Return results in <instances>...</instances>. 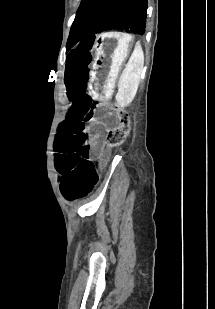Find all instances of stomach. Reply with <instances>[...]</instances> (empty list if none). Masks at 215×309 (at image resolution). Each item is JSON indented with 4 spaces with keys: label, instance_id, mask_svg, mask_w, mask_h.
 <instances>
[{
    "label": "stomach",
    "instance_id": "obj_1",
    "mask_svg": "<svg viewBox=\"0 0 215 309\" xmlns=\"http://www.w3.org/2000/svg\"><path fill=\"white\" fill-rule=\"evenodd\" d=\"M134 44V37L122 31L104 32L95 39V59L89 79L93 97L105 100L111 95L121 65Z\"/></svg>",
    "mask_w": 215,
    "mask_h": 309
}]
</instances>
